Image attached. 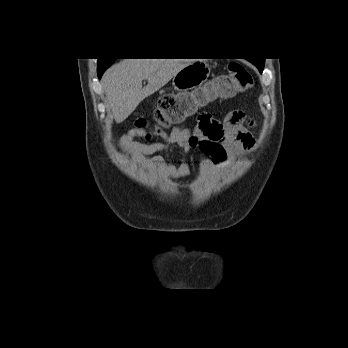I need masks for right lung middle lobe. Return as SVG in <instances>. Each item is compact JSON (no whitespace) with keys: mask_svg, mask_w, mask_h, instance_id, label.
<instances>
[{"mask_svg":"<svg viewBox=\"0 0 348 348\" xmlns=\"http://www.w3.org/2000/svg\"><path fill=\"white\" fill-rule=\"evenodd\" d=\"M114 59H98V67H109Z\"/></svg>","mask_w":348,"mask_h":348,"instance_id":"obj_1","label":"right lung middle lobe"}]
</instances>
